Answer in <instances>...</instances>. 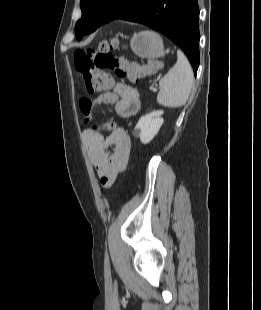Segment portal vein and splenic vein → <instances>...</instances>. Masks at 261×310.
<instances>
[{"mask_svg":"<svg viewBox=\"0 0 261 310\" xmlns=\"http://www.w3.org/2000/svg\"><path fill=\"white\" fill-rule=\"evenodd\" d=\"M151 90L153 91V92H156L157 91V89L156 88H151Z\"/></svg>","mask_w":261,"mask_h":310,"instance_id":"18ae733b","label":"portal vein and splenic vein"}]
</instances>
